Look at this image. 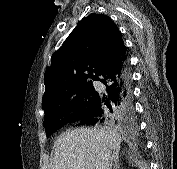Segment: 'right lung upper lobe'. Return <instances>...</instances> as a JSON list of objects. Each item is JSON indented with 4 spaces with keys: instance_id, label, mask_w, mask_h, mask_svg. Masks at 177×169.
<instances>
[{
    "instance_id": "right-lung-upper-lobe-1",
    "label": "right lung upper lobe",
    "mask_w": 177,
    "mask_h": 169,
    "mask_svg": "<svg viewBox=\"0 0 177 169\" xmlns=\"http://www.w3.org/2000/svg\"><path fill=\"white\" fill-rule=\"evenodd\" d=\"M122 35L106 15L83 18L51 59L45 71L42 106L61 100L75 88L92 82L108 66L127 58Z\"/></svg>"
}]
</instances>
